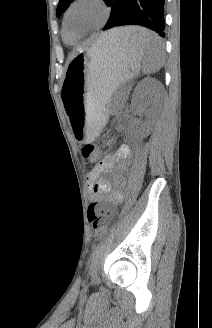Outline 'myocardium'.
<instances>
[{"instance_id": "myocardium-1", "label": "myocardium", "mask_w": 212, "mask_h": 328, "mask_svg": "<svg viewBox=\"0 0 212 328\" xmlns=\"http://www.w3.org/2000/svg\"><path fill=\"white\" fill-rule=\"evenodd\" d=\"M83 3L95 4L98 7H100L103 11V18H102L101 22L99 24H97L96 26L87 29L85 31L86 33L100 29L106 23L108 18L110 17L111 7L107 3L106 0H72L71 3L69 4V6L67 7V9L65 10V13H64L63 28H64L65 31L69 30V17H70L71 11L76 6H78L80 4H83Z\"/></svg>"}]
</instances>
